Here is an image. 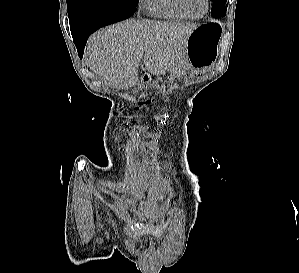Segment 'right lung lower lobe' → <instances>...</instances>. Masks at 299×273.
<instances>
[{
	"mask_svg": "<svg viewBox=\"0 0 299 273\" xmlns=\"http://www.w3.org/2000/svg\"><path fill=\"white\" fill-rule=\"evenodd\" d=\"M136 8L101 7L76 10L69 16L71 34L82 58L88 37L101 27L125 20L132 16Z\"/></svg>",
	"mask_w": 299,
	"mask_h": 273,
	"instance_id": "obj_1",
	"label": "right lung lower lobe"
}]
</instances>
